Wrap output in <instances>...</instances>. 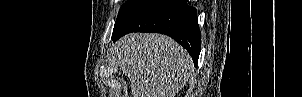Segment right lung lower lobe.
Instances as JSON below:
<instances>
[{
	"label": "right lung lower lobe",
	"instance_id": "obj_1",
	"mask_svg": "<svg viewBox=\"0 0 302 97\" xmlns=\"http://www.w3.org/2000/svg\"><path fill=\"white\" fill-rule=\"evenodd\" d=\"M131 32H156L166 34L180 43L191 55L197 66L201 50V33L197 11L186 0H145L120 28L112 39Z\"/></svg>",
	"mask_w": 302,
	"mask_h": 97
}]
</instances>
